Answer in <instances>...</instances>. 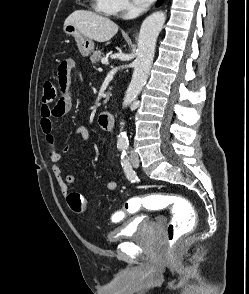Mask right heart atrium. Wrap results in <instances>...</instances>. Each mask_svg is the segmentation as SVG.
Returning <instances> with one entry per match:
<instances>
[{"mask_svg":"<svg viewBox=\"0 0 249 294\" xmlns=\"http://www.w3.org/2000/svg\"><path fill=\"white\" fill-rule=\"evenodd\" d=\"M117 13L126 15L131 9L132 5L129 0H115Z\"/></svg>","mask_w":249,"mask_h":294,"instance_id":"1","label":"right heart atrium"}]
</instances>
